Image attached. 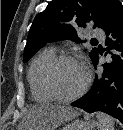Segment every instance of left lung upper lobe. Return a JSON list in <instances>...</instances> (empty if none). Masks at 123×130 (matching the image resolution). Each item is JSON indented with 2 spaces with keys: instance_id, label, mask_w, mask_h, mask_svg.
<instances>
[{
  "instance_id": "1",
  "label": "left lung upper lobe",
  "mask_w": 123,
  "mask_h": 130,
  "mask_svg": "<svg viewBox=\"0 0 123 130\" xmlns=\"http://www.w3.org/2000/svg\"><path fill=\"white\" fill-rule=\"evenodd\" d=\"M122 8L119 0H52L34 18L23 62H27L47 42L62 39L79 42L76 26L85 27L86 23L93 21L94 27L106 32L115 23ZM97 53L94 48L90 53L91 60Z\"/></svg>"
}]
</instances>
